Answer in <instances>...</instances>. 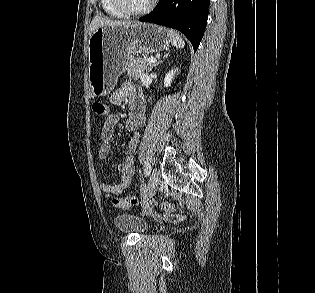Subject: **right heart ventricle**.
<instances>
[{
  "instance_id": "1",
  "label": "right heart ventricle",
  "mask_w": 315,
  "mask_h": 293,
  "mask_svg": "<svg viewBox=\"0 0 315 293\" xmlns=\"http://www.w3.org/2000/svg\"><path fill=\"white\" fill-rule=\"evenodd\" d=\"M100 4L106 15L116 19H122L125 17V15L115 7L113 0H100Z\"/></svg>"
}]
</instances>
